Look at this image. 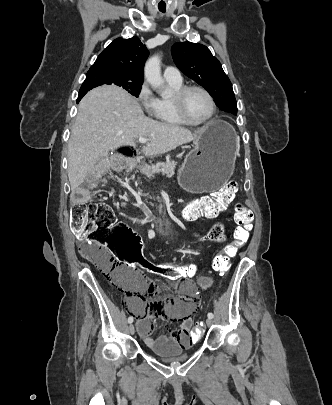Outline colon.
Returning a JSON list of instances; mask_svg holds the SVG:
<instances>
[{"instance_id":"colon-1","label":"colon","mask_w":332,"mask_h":405,"mask_svg":"<svg viewBox=\"0 0 332 405\" xmlns=\"http://www.w3.org/2000/svg\"><path fill=\"white\" fill-rule=\"evenodd\" d=\"M237 190L235 181H229L209 196L196 199L188 209L197 214H209L223 211L233 200ZM252 214L241 203L234 207L236 227L233 240L225 245L213 260V268L220 274L226 273L238 250L247 242L252 228ZM71 229L76 235L86 237L79 246L82 258L95 265L106 278L121 289L122 271L114 256H121L122 267H134L135 270H148L159 273L169 282L189 280L195 274L194 266H182L175 263L154 261L153 258H140L142 238L125 222L118 221L113 210L105 203L87 202L86 192H77L71 207ZM209 236H214L215 243H222L223 236H228V227H209ZM186 272V273H185ZM122 290V289H121ZM194 323V329L188 334L191 346H202L205 330L204 318Z\"/></svg>"}]
</instances>
